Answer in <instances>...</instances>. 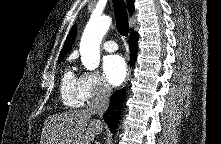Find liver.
<instances>
[{"label": "liver", "mask_w": 221, "mask_h": 144, "mask_svg": "<svg viewBox=\"0 0 221 144\" xmlns=\"http://www.w3.org/2000/svg\"><path fill=\"white\" fill-rule=\"evenodd\" d=\"M91 115L79 109L47 117L41 134L42 144H91L103 131V124L91 119Z\"/></svg>", "instance_id": "1"}]
</instances>
